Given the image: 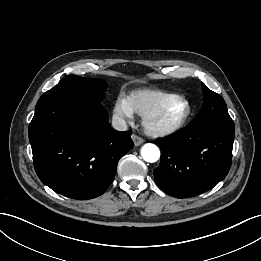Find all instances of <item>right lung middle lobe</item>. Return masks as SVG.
<instances>
[{"instance_id": "1", "label": "right lung middle lobe", "mask_w": 261, "mask_h": 261, "mask_svg": "<svg viewBox=\"0 0 261 261\" xmlns=\"http://www.w3.org/2000/svg\"><path fill=\"white\" fill-rule=\"evenodd\" d=\"M107 84L100 79L80 78L69 75L52 89L45 92L40 99H66L76 102H100L104 98Z\"/></svg>"}]
</instances>
